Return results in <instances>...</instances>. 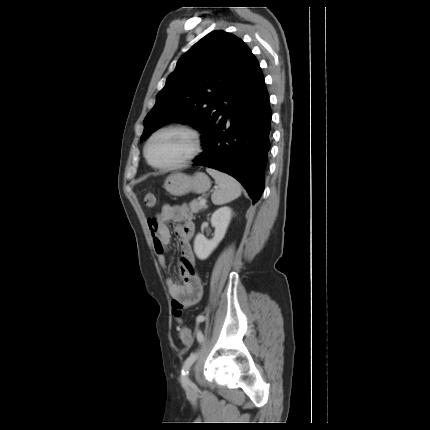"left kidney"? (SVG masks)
Segmentation results:
<instances>
[{
	"label": "left kidney",
	"instance_id": "obj_1",
	"mask_svg": "<svg viewBox=\"0 0 430 430\" xmlns=\"http://www.w3.org/2000/svg\"><path fill=\"white\" fill-rule=\"evenodd\" d=\"M232 216L231 208L222 207L216 210L211 217V224L215 228L214 237L208 240L198 233L194 240V251L201 260L207 259L224 238Z\"/></svg>",
	"mask_w": 430,
	"mask_h": 430
}]
</instances>
